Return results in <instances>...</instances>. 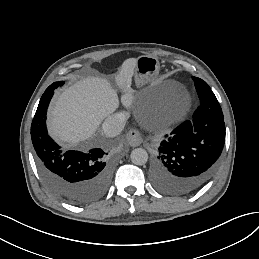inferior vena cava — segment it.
<instances>
[{
	"label": "inferior vena cava",
	"mask_w": 259,
	"mask_h": 259,
	"mask_svg": "<svg viewBox=\"0 0 259 259\" xmlns=\"http://www.w3.org/2000/svg\"><path fill=\"white\" fill-rule=\"evenodd\" d=\"M126 116L124 113H115L108 116L102 124L103 132L108 137L119 135L125 126Z\"/></svg>",
	"instance_id": "602c4592"
}]
</instances>
